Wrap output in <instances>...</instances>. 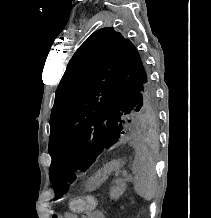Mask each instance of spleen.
Masks as SVG:
<instances>
[{
  "label": "spleen",
  "mask_w": 211,
  "mask_h": 218,
  "mask_svg": "<svg viewBox=\"0 0 211 218\" xmlns=\"http://www.w3.org/2000/svg\"><path fill=\"white\" fill-rule=\"evenodd\" d=\"M132 172L134 174L135 192L144 200H152L156 194L157 178L154 162L148 152L136 150Z\"/></svg>",
  "instance_id": "3e777b00"
}]
</instances>
